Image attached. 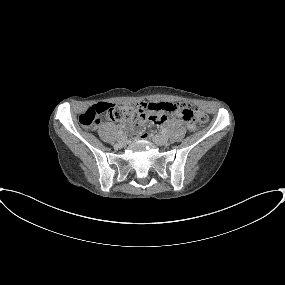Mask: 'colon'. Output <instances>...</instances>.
I'll return each instance as SVG.
<instances>
[{"instance_id":"1","label":"colon","mask_w":285,"mask_h":285,"mask_svg":"<svg viewBox=\"0 0 285 285\" xmlns=\"http://www.w3.org/2000/svg\"><path fill=\"white\" fill-rule=\"evenodd\" d=\"M171 114L180 116L185 121L205 123L207 115L199 109L193 108L185 102L173 103L169 107ZM152 112L151 106L146 104L116 106L111 103L100 102L86 109L79 116L83 127L94 129L104 118L110 120H124L133 122L142 115Z\"/></svg>"}]
</instances>
